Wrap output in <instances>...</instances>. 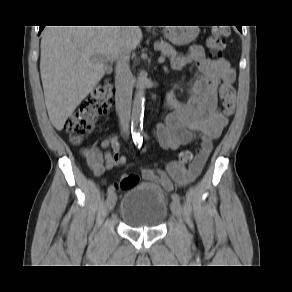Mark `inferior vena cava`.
Wrapping results in <instances>:
<instances>
[{
	"instance_id": "obj_1",
	"label": "inferior vena cava",
	"mask_w": 292,
	"mask_h": 292,
	"mask_svg": "<svg viewBox=\"0 0 292 292\" xmlns=\"http://www.w3.org/2000/svg\"><path fill=\"white\" fill-rule=\"evenodd\" d=\"M130 52L122 50L117 57L115 65V82L117 89V98L120 106L119 124L121 131L128 134L129 123L131 119V70L129 66Z\"/></svg>"
}]
</instances>
